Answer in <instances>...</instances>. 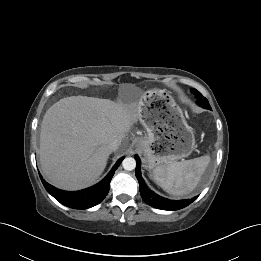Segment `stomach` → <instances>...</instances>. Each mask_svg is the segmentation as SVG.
<instances>
[{
	"mask_svg": "<svg viewBox=\"0 0 261 261\" xmlns=\"http://www.w3.org/2000/svg\"><path fill=\"white\" fill-rule=\"evenodd\" d=\"M139 121L147 135L136 140L149 170L189 156L195 148L193 129L169 92L153 89L142 97Z\"/></svg>",
	"mask_w": 261,
	"mask_h": 261,
	"instance_id": "obj_1",
	"label": "stomach"
}]
</instances>
